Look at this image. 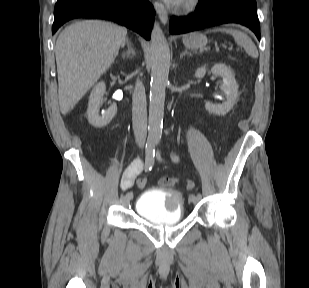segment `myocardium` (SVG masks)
Listing matches in <instances>:
<instances>
[{"instance_id": "f54148a6", "label": "myocardium", "mask_w": 309, "mask_h": 288, "mask_svg": "<svg viewBox=\"0 0 309 288\" xmlns=\"http://www.w3.org/2000/svg\"><path fill=\"white\" fill-rule=\"evenodd\" d=\"M200 0H182L179 4V10L184 12L194 11L199 6Z\"/></svg>"}]
</instances>
